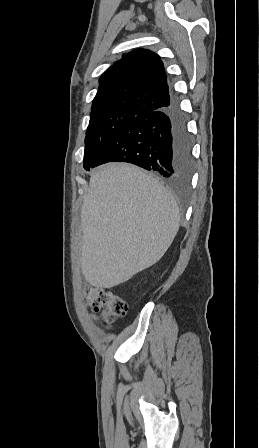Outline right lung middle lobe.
<instances>
[{"label":"right lung middle lobe","mask_w":259,"mask_h":448,"mask_svg":"<svg viewBox=\"0 0 259 448\" xmlns=\"http://www.w3.org/2000/svg\"><path fill=\"white\" fill-rule=\"evenodd\" d=\"M139 115L138 112L91 113L85 138L84 169L89 170L116 135Z\"/></svg>","instance_id":"obj_1"}]
</instances>
